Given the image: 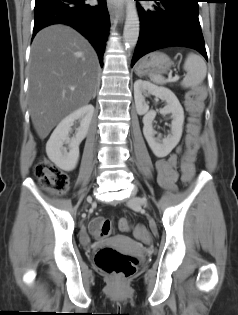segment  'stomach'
<instances>
[{"instance_id": "obj_1", "label": "stomach", "mask_w": 238, "mask_h": 315, "mask_svg": "<svg viewBox=\"0 0 238 315\" xmlns=\"http://www.w3.org/2000/svg\"><path fill=\"white\" fill-rule=\"evenodd\" d=\"M172 61L162 52H153L145 56L138 63L135 71L139 76L144 75H161L170 70Z\"/></svg>"}]
</instances>
